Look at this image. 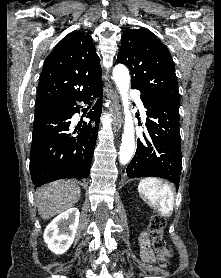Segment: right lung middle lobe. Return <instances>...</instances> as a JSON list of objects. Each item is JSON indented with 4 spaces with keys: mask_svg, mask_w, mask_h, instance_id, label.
<instances>
[{
    "mask_svg": "<svg viewBox=\"0 0 221 278\" xmlns=\"http://www.w3.org/2000/svg\"><path fill=\"white\" fill-rule=\"evenodd\" d=\"M55 111H56L55 107H51V106H47V105H36L34 120H37L47 114L55 112Z\"/></svg>",
    "mask_w": 221,
    "mask_h": 278,
    "instance_id": "1",
    "label": "right lung middle lobe"
}]
</instances>
